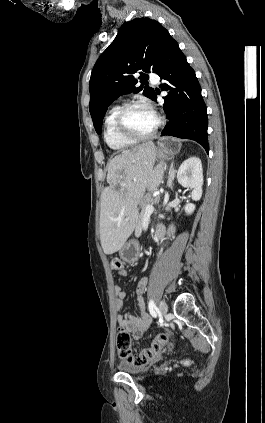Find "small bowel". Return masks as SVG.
<instances>
[{"label":"small bowel","instance_id":"1","mask_svg":"<svg viewBox=\"0 0 265 423\" xmlns=\"http://www.w3.org/2000/svg\"><path fill=\"white\" fill-rule=\"evenodd\" d=\"M159 228H164L166 230L165 237L170 238L174 234V227L170 226L166 228L164 225H157L156 230ZM120 276H126L127 271L124 268L122 271L118 272ZM147 278H141L134 289V293L137 298V308L139 310V316H132L130 314H117L116 321L120 327L125 328L135 339H139L150 327L152 320L149 314L146 312L145 301L143 294L145 293L147 287ZM115 301L114 306L116 310H119L123 305V300L127 297V293L118 285H114L113 288Z\"/></svg>","mask_w":265,"mask_h":423}]
</instances>
